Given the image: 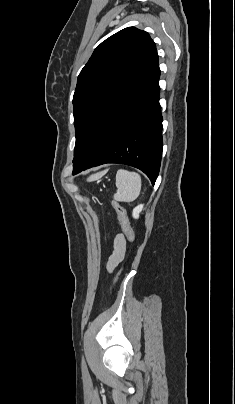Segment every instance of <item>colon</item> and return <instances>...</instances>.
Listing matches in <instances>:
<instances>
[{
	"instance_id": "colon-1",
	"label": "colon",
	"mask_w": 235,
	"mask_h": 404,
	"mask_svg": "<svg viewBox=\"0 0 235 404\" xmlns=\"http://www.w3.org/2000/svg\"><path fill=\"white\" fill-rule=\"evenodd\" d=\"M113 206H114L116 212L118 213V215L120 216L121 227H122V230H123L127 240L129 242L133 243L134 239H135L134 230H133L132 226L130 225V222L128 221V219L125 216L124 208L117 202H114Z\"/></svg>"
}]
</instances>
